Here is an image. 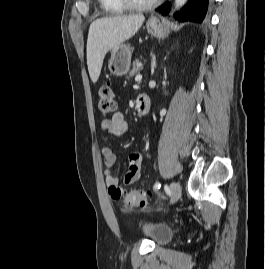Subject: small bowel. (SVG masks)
<instances>
[{"instance_id":"c3829d8e","label":"small bowel","mask_w":265,"mask_h":269,"mask_svg":"<svg viewBox=\"0 0 265 269\" xmlns=\"http://www.w3.org/2000/svg\"><path fill=\"white\" fill-rule=\"evenodd\" d=\"M100 128L102 131L108 132L114 136H123L128 131V123L121 112H116L111 118H104L100 121ZM101 154L104 159V175L108 186H117L118 177L113 173L112 169L116 163L117 157L109 146L101 148ZM143 162V154L134 152L129 156V168L125 175V184L134 183L141 171Z\"/></svg>"}]
</instances>
